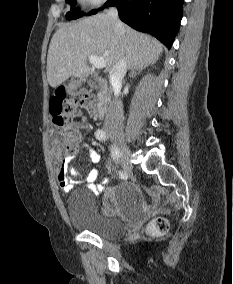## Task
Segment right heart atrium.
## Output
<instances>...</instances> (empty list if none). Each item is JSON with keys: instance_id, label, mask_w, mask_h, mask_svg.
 I'll return each mask as SVG.
<instances>
[{"instance_id": "1", "label": "right heart atrium", "mask_w": 233, "mask_h": 284, "mask_svg": "<svg viewBox=\"0 0 233 284\" xmlns=\"http://www.w3.org/2000/svg\"><path fill=\"white\" fill-rule=\"evenodd\" d=\"M85 4L91 7H97L101 4H103L106 0H83Z\"/></svg>"}]
</instances>
